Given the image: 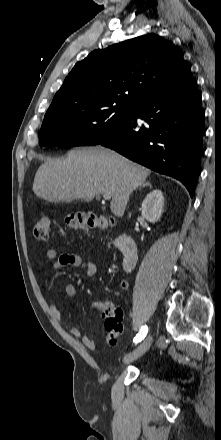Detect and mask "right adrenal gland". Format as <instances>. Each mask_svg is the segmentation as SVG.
<instances>
[{
  "label": "right adrenal gland",
  "mask_w": 221,
  "mask_h": 440,
  "mask_svg": "<svg viewBox=\"0 0 221 440\" xmlns=\"http://www.w3.org/2000/svg\"><path fill=\"white\" fill-rule=\"evenodd\" d=\"M145 186H148V187L152 188L151 183H149V182H147V181L143 182V183L140 185V188L145 187Z\"/></svg>",
  "instance_id": "right-adrenal-gland-1"
}]
</instances>
